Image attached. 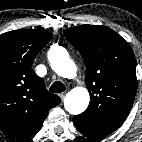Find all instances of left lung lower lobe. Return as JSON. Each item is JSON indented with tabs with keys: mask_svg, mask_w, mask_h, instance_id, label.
<instances>
[{
	"mask_svg": "<svg viewBox=\"0 0 142 142\" xmlns=\"http://www.w3.org/2000/svg\"><path fill=\"white\" fill-rule=\"evenodd\" d=\"M76 128L78 129V131L83 134L84 136L93 139V140H97L99 138H96L95 135L91 134L90 132L86 131L83 127L79 126L78 124L74 123Z\"/></svg>",
	"mask_w": 142,
	"mask_h": 142,
	"instance_id": "0a47b994",
	"label": "left lung lower lobe"
}]
</instances>
